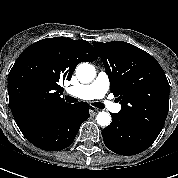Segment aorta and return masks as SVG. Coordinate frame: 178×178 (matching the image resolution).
Instances as JSON below:
<instances>
[{"label":"aorta","mask_w":178,"mask_h":178,"mask_svg":"<svg viewBox=\"0 0 178 178\" xmlns=\"http://www.w3.org/2000/svg\"><path fill=\"white\" fill-rule=\"evenodd\" d=\"M96 71L93 65L89 63H81L76 68V77L81 83H90L94 80ZM97 123L100 126H109L111 123V115L108 112H99L96 116Z\"/></svg>","instance_id":"obj_1"}]
</instances>
